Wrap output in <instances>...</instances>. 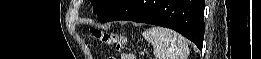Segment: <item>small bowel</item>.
<instances>
[{
    "label": "small bowel",
    "instance_id": "c3829d8e",
    "mask_svg": "<svg viewBox=\"0 0 261 59\" xmlns=\"http://www.w3.org/2000/svg\"><path fill=\"white\" fill-rule=\"evenodd\" d=\"M122 57H129V58H122ZM121 58H122V59H132L133 57H131V56H129V55H126V54H124V55H122V56H121Z\"/></svg>",
    "mask_w": 261,
    "mask_h": 59
}]
</instances>
